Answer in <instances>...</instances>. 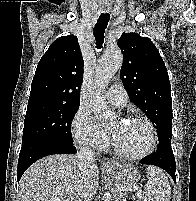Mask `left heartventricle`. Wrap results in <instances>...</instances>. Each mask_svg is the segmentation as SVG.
Here are the masks:
<instances>
[{
    "label": "left heart ventricle",
    "instance_id": "b2bd125f",
    "mask_svg": "<svg viewBox=\"0 0 196 201\" xmlns=\"http://www.w3.org/2000/svg\"><path fill=\"white\" fill-rule=\"evenodd\" d=\"M110 132L117 145L129 154L145 151L150 143L149 129L139 121L116 119L110 126Z\"/></svg>",
    "mask_w": 196,
    "mask_h": 201
}]
</instances>
